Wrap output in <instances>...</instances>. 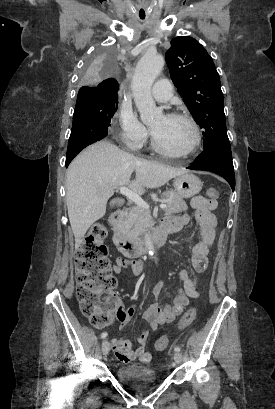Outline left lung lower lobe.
<instances>
[{"instance_id": "1", "label": "left lung lower lobe", "mask_w": 275, "mask_h": 409, "mask_svg": "<svg viewBox=\"0 0 275 409\" xmlns=\"http://www.w3.org/2000/svg\"><path fill=\"white\" fill-rule=\"evenodd\" d=\"M188 169L205 170L222 176L231 186L235 188V175L233 170L230 143L219 144L203 151Z\"/></svg>"}]
</instances>
